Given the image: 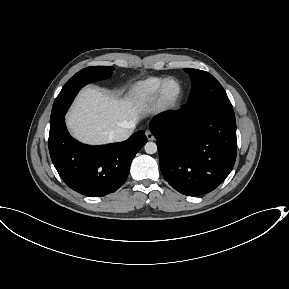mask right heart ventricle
<instances>
[{"mask_svg": "<svg viewBox=\"0 0 289 289\" xmlns=\"http://www.w3.org/2000/svg\"><path fill=\"white\" fill-rule=\"evenodd\" d=\"M164 77L152 76L137 82L131 91V97L135 102H147L154 99Z\"/></svg>", "mask_w": 289, "mask_h": 289, "instance_id": "obj_1", "label": "right heart ventricle"}]
</instances>
